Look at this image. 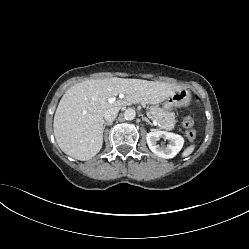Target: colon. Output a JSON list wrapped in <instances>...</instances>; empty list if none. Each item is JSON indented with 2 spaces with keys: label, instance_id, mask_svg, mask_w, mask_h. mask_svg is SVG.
<instances>
[{
  "label": "colon",
  "instance_id": "obj_1",
  "mask_svg": "<svg viewBox=\"0 0 249 249\" xmlns=\"http://www.w3.org/2000/svg\"><path fill=\"white\" fill-rule=\"evenodd\" d=\"M193 125H194V119L191 115L186 116L183 119V127L187 129L186 135L190 141H193L196 135Z\"/></svg>",
  "mask_w": 249,
  "mask_h": 249
}]
</instances>
